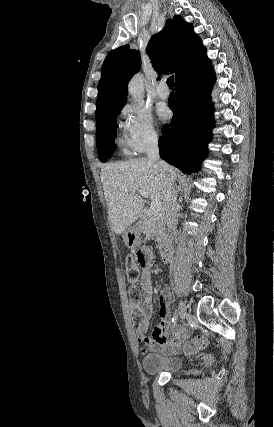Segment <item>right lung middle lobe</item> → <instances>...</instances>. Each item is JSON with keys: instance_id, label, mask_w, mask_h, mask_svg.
Here are the masks:
<instances>
[{"instance_id": "1", "label": "right lung middle lobe", "mask_w": 274, "mask_h": 427, "mask_svg": "<svg viewBox=\"0 0 274 427\" xmlns=\"http://www.w3.org/2000/svg\"><path fill=\"white\" fill-rule=\"evenodd\" d=\"M127 99L96 113V146L101 162H106L113 154L116 146L114 138L116 136L115 120L125 105Z\"/></svg>"}]
</instances>
